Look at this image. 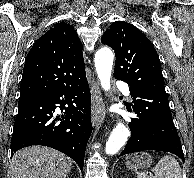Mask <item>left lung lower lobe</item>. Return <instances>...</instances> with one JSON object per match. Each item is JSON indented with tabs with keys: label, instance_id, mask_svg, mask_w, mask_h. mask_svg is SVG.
<instances>
[{
	"label": "left lung lower lobe",
	"instance_id": "1",
	"mask_svg": "<svg viewBox=\"0 0 194 178\" xmlns=\"http://www.w3.org/2000/svg\"><path fill=\"white\" fill-rule=\"evenodd\" d=\"M129 90L133 97V111L138 115L129 123L132 134L121 155L158 150L171 152L184 161L167 94L134 87H130Z\"/></svg>",
	"mask_w": 194,
	"mask_h": 178
}]
</instances>
